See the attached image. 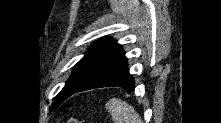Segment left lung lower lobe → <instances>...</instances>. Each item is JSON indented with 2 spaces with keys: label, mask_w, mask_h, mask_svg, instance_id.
Instances as JSON below:
<instances>
[{
  "label": "left lung lower lobe",
  "mask_w": 221,
  "mask_h": 123,
  "mask_svg": "<svg viewBox=\"0 0 221 123\" xmlns=\"http://www.w3.org/2000/svg\"><path fill=\"white\" fill-rule=\"evenodd\" d=\"M107 86L122 87L127 93L134 90V81L132 76L129 75L127 58L124 56V54L101 69L97 74L87 80L75 92H73V94L83 90Z\"/></svg>",
  "instance_id": "1"
}]
</instances>
